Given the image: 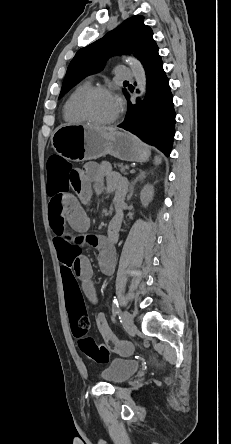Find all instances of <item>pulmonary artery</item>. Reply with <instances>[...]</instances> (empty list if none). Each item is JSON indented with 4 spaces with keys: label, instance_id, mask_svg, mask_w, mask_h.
Here are the masks:
<instances>
[{
    "label": "pulmonary artery",
    "instance_id": "pulmonary-artery-1",
    "mask_svg": "<svg viewBox=\"0 0 231 444\" xmlns=\"http://www.w3.org/2000/svg\"><path fill=\"white\" fill-rule=\"evenodd\" d=\"M116 78L119 80H130L133 78V73L130 68L120 66L116 69Z\"/></svg>",
    "mask_w": 231,
    "mask_h": 444
}]
</instances>
